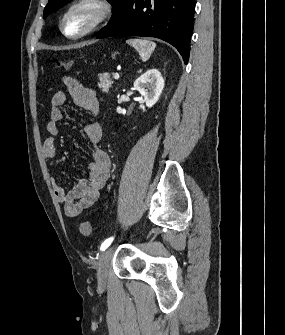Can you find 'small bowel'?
<instances>
[{
  "label": "small bowel",
  "instance_id": "small-bowel-1",
  "mask_svg": "<svg viewBox=\"0 0 285 335\" xmlns=\"http://www.w3.org/2000/svg\"><path fill=\"white\" fill-rule=\"evenodd\" d=\"M63 82L75 105L89 112L92 116H96L99 111L96 93L92 89L84 87L75 78L65 77ZM66 99L65 92L57 91L51 100L50 119L46 126L49 136L42 145V152L47 160L54 159L56 155L55 137L59 133V124L65 118L62 107L65 105ZM83 131L94 146L92 159L88 163L87 177L80 180L70 192H67L55 178L51 179L55 197L64 204V213L70 218L77 217L98 200L100 191L111 171L110 156L106 151L97 147L102 136L100 125L95 121H89L84 125Z\"/></svg>",
  "mask_w": 285,
  "mask_h": 335
}]
</instances>
